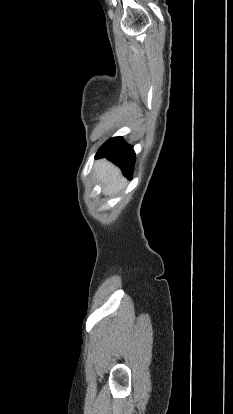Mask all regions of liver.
Returning <instances> with one entry per match:
<instances>
[{
  "mask_svg": "<svg viewBox=\"0 0 233 414\" xmlns=\"http://www.w3.org/2000/svg\"><path fill=\"white\" fill-rule=\"evenodd\" d=\"M94 170L97 179L103 185V193L105 195H113L120 192L125 186V178L121 175V171L114 164L105 159H101L95 163Z\"/></svg>",
  "mask_w": 233,
  "mask_h": 414,
  "instance_id": "1",
  "label": "liver"
}]
</instances>
